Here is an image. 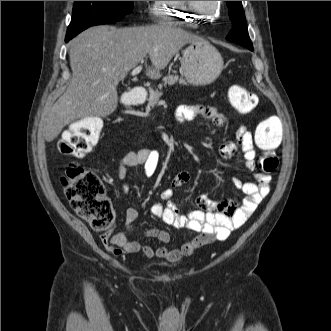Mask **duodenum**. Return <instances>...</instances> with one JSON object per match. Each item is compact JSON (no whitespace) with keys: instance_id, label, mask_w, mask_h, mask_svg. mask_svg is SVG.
Segmentation results:
<instances>
[{"instance_id":"obj_1","label":"duodenum","mask_w":331,"mask_h":331,"mask_svg":"<svg viewBox=\"0 0 331 331\" xmlns=\"http://www.w3.org/2000/svg\"><path fill=\"white\" fill-rule=\"evenodd\" d=\"M125 99L131 105L142 104L145 101V89L137 86L126 93Z\"/></svg>"}]
</instances>
